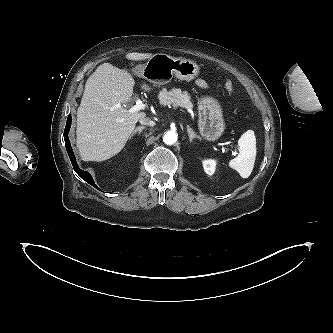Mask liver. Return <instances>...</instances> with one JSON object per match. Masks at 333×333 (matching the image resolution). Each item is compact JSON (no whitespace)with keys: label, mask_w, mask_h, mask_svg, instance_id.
<instances>
[{"label":"liver","mask_w":333,"mask_h":333,"mask_svg":"<svg viewBox=\"0 0 333 333\" xmlns=\"http://www.w3.org/2000/svg\"><path fill=\"white\" fill-rule=\"evenodd\" d=\"M152 54L129 53L126 59L141 61ZM135 81L130 73L110 63L97 67L85 84L77 111V147L85 161H104L118 154L125 146L136 123L144 112L130 113L115 108L131 100ZM147 92L151 88L143 84Z\"/></svg>","instance_id":"obj_1"}]
</instances>
